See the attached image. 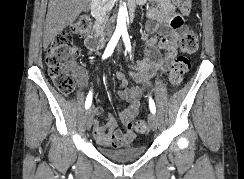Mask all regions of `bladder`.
<instances>
[{
	"label": "bladder",
	"mask_w": 244,
	"mask_h": 179,
	"mask_svg": "<svg viewBox=\"0 0 244 179\" xmlns=\"http://www.w3.org/2000/svg\"><path fill=\"white\" fill-rule=\"evenodd\" d=\"M146 148L144 146H139L138 144H131L125 148L118 150H108L106 148H100L101 154L104 157H109L110 159L116 161L134 160L142 157L145 153Z\"/></svg>",
	"instance_id": "obj_1"
}]
</instances>
